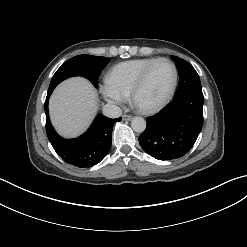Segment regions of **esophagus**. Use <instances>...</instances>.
I'll return each instance as SVG.
<instances>
[{
  "label": "esophagus",
  "mask_w": 247,
  "mask_h": 247,
  "mask_svg": "<svg viewBox=\"0 0 247 247\" xmlns=\"http://www.w3.org/2000/svg\"><path fill=\"white\" fill-rule=\"evenodd\" d=\"M122 118H123V120L130 121L132 119V116L131 115H123Z\"/></svg>",
  "instance_id": "obj_1"
}]
</instances>
